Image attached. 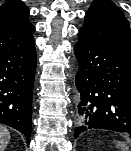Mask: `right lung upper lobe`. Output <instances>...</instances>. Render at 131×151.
<instances>
[{"label": "right lung upper lobe", "mask_w": 131, "mask_h": 151, "mask_svg": "<svg viewBox=\"0 0 131 151\" xmlns=\"http://www.w3.org/2000/svg\"><path fill=\"white\" fill-rule=\"evenodd\" d=\"M29 10L21 0H11L0 6V36H18L35 27L30 23Z\"/></svg>", "instance_id": "right-lung-upper-lobe-1"}]
</instances>
